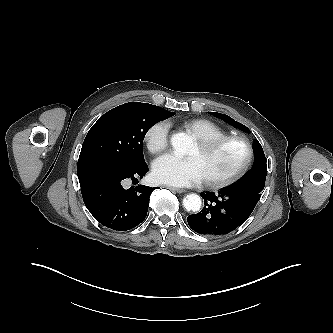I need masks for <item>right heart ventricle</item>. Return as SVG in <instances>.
Instances as JSON below:
<instances>
[{
	"label": "right heart ventricle",
	"instance_id": "right-heart-ventricle-1",
	"mask_svg": "<svg viewBox=\"0 0 333 333\" xmlns=\"http://www.w3.org/2000/svg\"><path fill=\"white\" fill-rule=\"evenodd\" d=\"M183 126L190 131L198 141L214 139L227 134L221 126L205 118L185 121Z\"/></svg>",
	"mask_w": 333,
	"mask_h": 333
}]
</instances>
